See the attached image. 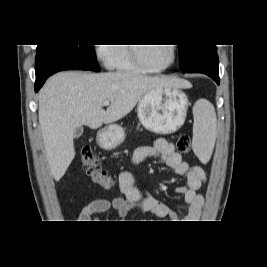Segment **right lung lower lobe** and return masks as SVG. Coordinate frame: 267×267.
Returning <instances> with one entry per match:
<instances>
[{
    "label": "right lung lower lobe",
    "instance_id": "obj_1",
    "mask_svg": "<svg viewBox=\"0 0 267 267\" xmlns=\"http://www.w3.org/2000/svg\"><path fill=\"white\" fill-rule=\"evenodd\" d=\"M64 70H91L84 64L54 50L37 52L35 58V92H38L46 79L52 74Z\"/></svg>",
    "mask_w": 267,
    "mask_h": 267
}]
</instances>
